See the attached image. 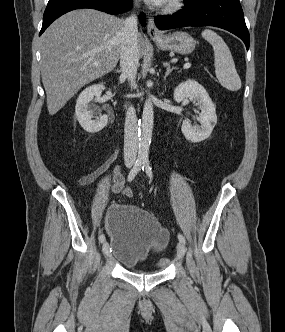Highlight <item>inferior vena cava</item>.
Instances as JSON below:
<instances>
[{"label":"inferior vena cava","instance_id":"inferior-vena-cava-1","mask_svg":"<svg viewBox=\"0 0 285 332\" xmlns=\"http://www.w3.org/2000/svg\"><path fill=\"white\" fill-rule=\"evenodd\" d=\"M138 18L135 13L124 21L122 29L123 40L121 44L120 66L121 79H127L135 86L138 58ZM138 152V125L134 107H129L124 127V160L128 164L136 161Z\"/></svg>","mask_w":285,"mask_h":332}]
</instances>
